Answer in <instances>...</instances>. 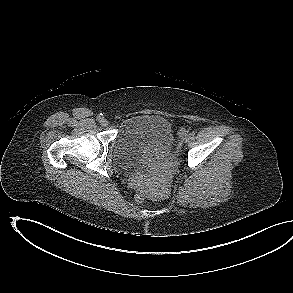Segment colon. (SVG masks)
<instances>
[{"label": "colon", "instance_id": "1", "mask_svg": "<svg viewBox=\"0 0 293 293\" xmlns=\"http://www.w3.org/2000/svg\"><path fill=\"white\" fill-rule=\"evenodd\" d=\"M134 188L136 191V195H135L136 200L140 203L143 202L148 192V188L146 184L144 182L138 181L134 183Z\"/></svg>", "mask_w": 293, "mask_h": 293}]
</instances>
